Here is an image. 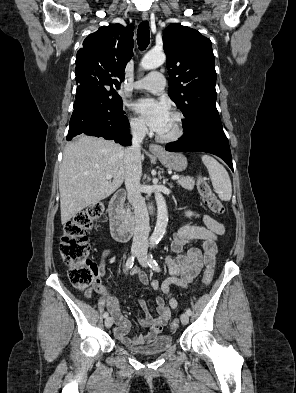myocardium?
<instances>
[{"instance_id": "f54148a6", "label": "myocardium", "mask_w": 296, "mask_h": 393, "mask_svg": "<svg viewBox=\"0 0 296 393\" xmlns=\"http://www.w3.org/2000/svg\"><path fill=\"white\" fill-rule=\"evenodd\" d=\"M171 115L174 117L176 125L173 130V132L169 135L163 136L160 134H157L156 138L160 142H173L178 139H180L184 133V117L182 113L178 111H174L171 113Z\"/></svg>"}]
</instances>
